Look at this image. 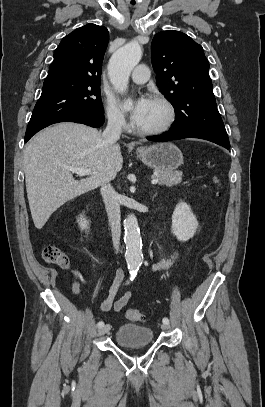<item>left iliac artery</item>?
<instances>
[{"instance_id": "obj_1", "label": "left iliac artery", "mask_w": 265, "mask_h": 407, "mask_svg": "<svg viewBox=\"0 0 265 407\" xmlns=\"http://www.w3.org/2000/svg\"><path fill=\"white\" fill-rule=\"evenodd\" d=\"M162 321H163V323H165V324H169V319H168L167 317H164Z\"/></svg>"}]
</instances>
